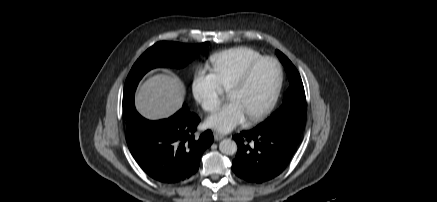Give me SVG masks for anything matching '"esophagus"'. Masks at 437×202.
<instances>
[{"label": "esophagus", "mask_w": 437, "mask_h": 202, "mask_svg": "<svg viewBox=\"0 0 437 202\" xmlns=\"http://www.w3.org/2000/svg\"><path fill=\"white\" fill-rule=\"evenodd\" d=\"M223 138H224V135L219 134V133H214V139H215V141H219V140H221V139H223Z\"/></svg>", "instance_id": "1"}]
</instances>
